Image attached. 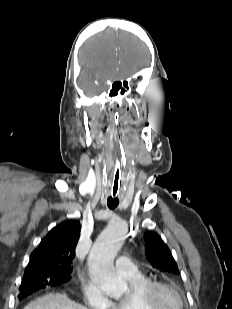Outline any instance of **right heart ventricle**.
Masks as SVG:
<instances>
[{"instance_id":"right-heart-ventricle-1","label":"right heart ventricle","mask_w":232,"mask_h":309,"mask_svg":"<svg viewBox=\"0 0 232 309\" xmlns=\"http://www.w3.org/2000/svg\"><path fill=\"white\" fill-rule=\"evenodd\" d=\"M126 279L130 284L131 292L124 298L112 302L111 309H146L140 300V293L151 280L142 273Z\"/></svg>"}]
</instances>
